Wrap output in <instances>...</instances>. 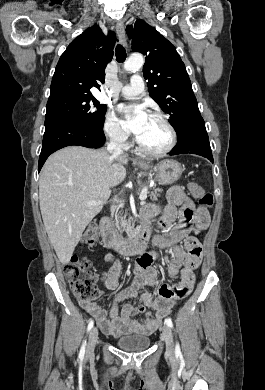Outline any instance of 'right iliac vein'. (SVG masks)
Instances as JSON below:
<instances>
[{
    "label": "right iliac vein",
    "mask_w": 265,
    "mask_h": 390,
    "mask_svg": "<svg viewBox=\"0 0 265 390\" xmlns=\"http://www.w3.org/2000/svg\"><path fill=\"white\" fill-rule=\"evenodd\" d=\"M98 339V329L93 327L89 334V339L86 347V356L89 357L93 354L96 342Z\"/></svg>",
    "instance_id": "1"
}]
</instances>
